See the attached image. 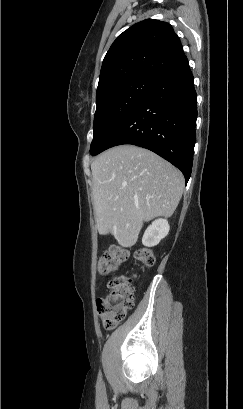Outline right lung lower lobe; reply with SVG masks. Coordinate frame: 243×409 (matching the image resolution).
<instances>
[{"instance_id": "right-lung-lower-lobe-1", "label": "right lung lower lobe", "mask_w": 243, "mask_h": 409, "mask_svg": "<svg viewBox=\"0 0 243 409\" xmlns=\"http://www.w3.org/2000/svg\"><path fill=\"white\" fill-rule=\"evenodd\" d=\"M196 103L193 75L185 56L158 80L102 151L122 144L149 149L179 168L188 182L196 140Z\"/></svg>"}]
</instances>
